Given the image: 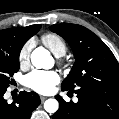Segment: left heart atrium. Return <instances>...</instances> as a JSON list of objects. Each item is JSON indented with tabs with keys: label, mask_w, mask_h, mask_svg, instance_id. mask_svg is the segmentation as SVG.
<instances>
[{
	"label": "left heart atrium",
	"mask_w": 119,
	"mask_h": 119,
	"mask_svg": "<svg viewBox=\"0 0 119 119\" xmlns=\"http://www.w3.org/2000/svg\"><path fill=\"white\" fill-rule=\"evenodd\" d=\"M60 77L52 70H34L24 79V84L39 93H49L59 82Z\"/></svg>",
	"instance_id": "obj_1"
}]
</instances>
